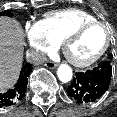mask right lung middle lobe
<instances>
[{"label":"right lung middle lobe","mask_w":117,"mask_h":117,"mask_svg":"<svg viewBox=\"0 0 117 117\" xmlns=\"http://www.w3.org/2000/svg\"><path fill=\"white\" fill-rule=\"evenodd\" d=\"M3 15H5V16H12V13H11L10 10H5L3 12H0V16H3Z\"/></svg>","instance_id":"1"}]
</instances>
